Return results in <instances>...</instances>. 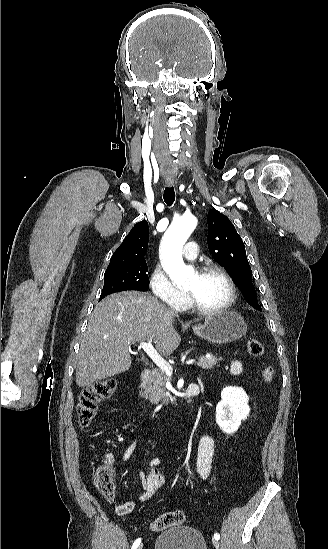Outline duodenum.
Segmentation results:
<instances>
[{
  "mask_svg": "<svg viewBox=\"0 0 328 549\" xmlns=\"http://www.w3.org/2000/svg\"><path fill=\"white\" fill-rule=\"evenodd\" d=\"M151 370L150 369H144L141 372L140 379H139V395L143 397L144 389L147 385V382L150 378ZM201 385L198 382L191 383L183 393L181 400L179 404L186 402L187 400L197 396L200 393Z\"/></svg>",
  "mask_w": 328,
  "mask_h": 549,
  "instance_id": "duodenum-1",
  "label": "duodenum"
}]
</instances>
